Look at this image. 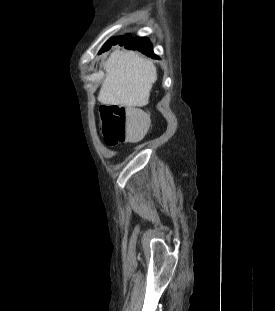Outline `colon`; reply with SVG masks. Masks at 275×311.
Listing matches in <instances>:
<instances>
[{
  "instance_id": "5ec220e1",
  "label": "colon",
  "mask_w": 275,
  "mask_h": 311,
  "mask_svg": "<svg viewBox=\"0 0 275 311\" xmlns=\"http://www.w3.org/2000/svg\"><path fill=\"white\" fill-rule=\"evenodd\" d=\"M104 140L109 146L141 139L149 129L150 117L146 112L120 106H105L100 110Z\"/></svg>"
}]
</instances>
